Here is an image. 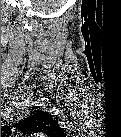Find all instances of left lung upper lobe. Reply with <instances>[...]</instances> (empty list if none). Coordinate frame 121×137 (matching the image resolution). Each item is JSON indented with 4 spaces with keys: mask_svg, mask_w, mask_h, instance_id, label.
Masks as SVG:
<instances>
[{
    "mask_svg": "<svg viewBox=\"0 0 121 137\" xmlns=\"http://www.w3.org/2000/svg\"><path fill=\"white\" fill-rule=\"evenodd\" d=\"M15 127L21 131L43 132L46 134H50L58 130V124L53 116L40 110L34 111L31 117L19 122ZM2 130L6 133L9 130V127H3L1 131Z\"/></svg>",
    "mask_w": 121,
    "mask_h": 137,
    "instance_id": "left-lung-upper-lobe-1",
    "label": "left lung upper lobe"
}]
</instances>
